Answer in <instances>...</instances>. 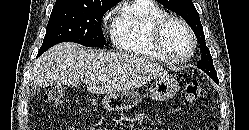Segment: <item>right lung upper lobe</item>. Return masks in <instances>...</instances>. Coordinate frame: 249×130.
<instances>
[{
    "label": "right lung upper lobe",
    "instance_id": "right-lung-upper-lobe-1",
    "mask_svg": "<svg viewBox=\"0 0 249 130\" xmlns=\"http://www.w3.org/2000/svg\"><path fill=\"white\" fill-rule=\"evenodd\" d=\"M120 0H56L54 6L68 5L81 8L97 9L116 5Z\"/></svg>",
    "mask_w": 249,
    "mask_h": 130
}]
</instances>
